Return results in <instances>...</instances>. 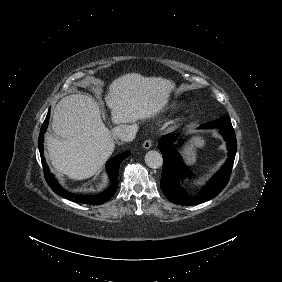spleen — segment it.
Masks as SVG:
<instances>
[{
    "label": "spleen",
    "mask_w": 282,
    "mask_h": 282,
    "mask_svg": "<svg viewBox=\"0 0 282 282\" xmlns=\"http://www.w3.org/2000/svg\"><path fill=\"white\" fill-rule=\"evenodd\" d=\"M202 170H203V169L200 168V169L198 170V172H201Z\"/></svg>",
    "instance_id": "obj_1"
}]
</instances>
